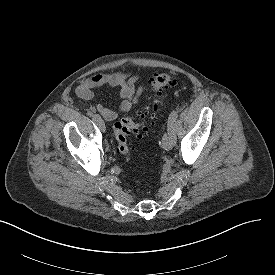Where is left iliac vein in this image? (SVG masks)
I'll list each match as a JSON object with an SVG mask.
<instances>
[{"label":"left iliac vein","mask_w":275,"mask_h":275,"mask_svg":"<svg viewBox=\"0 0 275 275\" xmlns=\"http://www.w3.org/2000/svg\"><path fill=\"white\" fill-rule=\"evenodd\" d=\"M174 145V133L172 130L168 127L167 132L164 134L162 138V147L165 150H170Z\"/></svg>","instance_id":"1"}]
</instances>
